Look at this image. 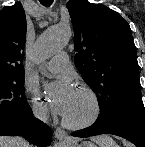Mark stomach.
<instances>
[{"instance_id":"stomach-1","label":"stomach","mask_w":145,"mask_h":147,"mask_svg":"<svg viewBox=\"0 0 145 147\" xmlns=\"http://www.w3.org/2000/svg\"><path fill=\"white\" fill-rule=\"evenodd\" d=\"M64 147H95V145L91 142H82L81 144H77V142H72L69 144H65Z\"/></svg>"}]
</instances>
